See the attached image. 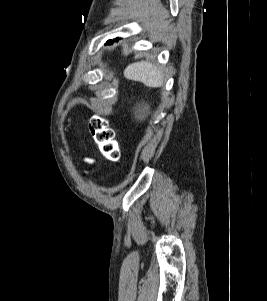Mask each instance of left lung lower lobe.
<instances>
[{"label":"left lung lower lobe","mask_w":267,"mask_h":301,"mask_svg":"<svg viewBox=\"0 0 267 301\" xmlns=\"http://www.w3.org/2000/svg\"><path fill=\"white\" fill-rule=\"evenodd\" d=\"M114 41H118V38L114 39ZM107 44H112V40L107 41Z\"/></svg>","instance_id":"1"}]
</instances>
